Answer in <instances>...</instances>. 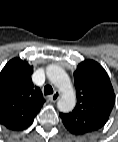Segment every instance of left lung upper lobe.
Instances as JSON below:
<instances>
[{"instance_id":"obj_1","label":"left lung upper lobe","mask_w":118,"mask_h":142,"mask_svg":"<svg viewBox=\"0 0 118 142\" xmlns=\"http://www.w3.org/2000/svg\"><path fill=\"white\" fill-rule=\"evenodd\" d=\"M77 104L68 114L60 113L63 124L85 134L104 126L115 103V94L104 68L85 60L74 72Z\"/></svg>"}]
</instances>
